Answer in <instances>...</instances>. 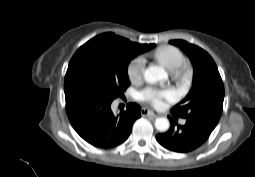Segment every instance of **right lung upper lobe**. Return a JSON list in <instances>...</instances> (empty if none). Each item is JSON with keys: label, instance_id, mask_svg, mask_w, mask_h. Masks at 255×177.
I'll list each match as a JSON object with an SVG mask.
<instances>
[{"label": "right lung upper lobe", "instance_id": "obj_1", "mask_svg": "<svg viewBox=\"0 0 255 177\" xmlns=\"http://www.w3.org/2000/svg\"><path fill=\"white\" fill-rule=\"evenodd\" d=\"M95 39L100 40L101 42L112 48L129 49L132 48L134 45V43L129 41L128 39L116 36L113 33H104L96 36Z\"/></svg>", "mask_w": 255, "mask_h": 177}]
</instances>
